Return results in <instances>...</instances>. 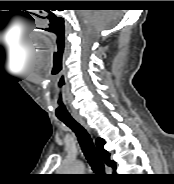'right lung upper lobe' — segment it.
I'll list each match as a JSON object with an SVG mask.
<instances>
[{
	"instance_id": "cb5924a9",
	"label": "right lung upper lobe",
	"mask_w": 174,
	"mask_h": 184,
	"mask_svg": "<svg viewBox=\"0 0 174 184\" xmlns=\"http://www.w3.org/2000/svg\"><path fill=\"white\" fill-rule=\"evenodd\" d=\"M104 144H105V141L102 138H98L96 140V146L100 156L102 157L106 165L115 169L116 168L115 162L110 160V154L104 149Z\"/></svg>"
}]
</instances>
